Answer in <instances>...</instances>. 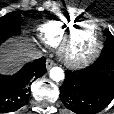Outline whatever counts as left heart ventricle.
I'll list each match as a JSON object with an SVG mask.
<instances>
[{
	"label": "left heart ventricle",
	"mask_w": 114,
	"mask_h": 114,
	"mask_svg": "<svg viewBox=\"0 0 114 114\" xmlns=\"http://www.w3.org/2000/svg\"><path fill=\"white\" fill-rule=\"evenodd\" d=\"M97 41V33L91 24L83 25L76 33L71 52L74 55H84L90 52Z\"/></svg>",
	"instance_id": "obj_1"
}]
</instances>
